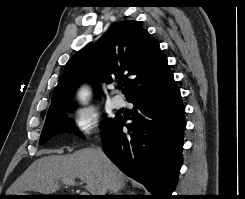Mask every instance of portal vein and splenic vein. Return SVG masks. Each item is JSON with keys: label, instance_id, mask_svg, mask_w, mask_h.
<instances>
[{"label": "portal vein and splenic vein", "instance_id": "obj_1", "mask_svg": "<svg viewBox=\"0 0 245 199\" xmlns=\"http://www.w3.org/2000/svg\"><path fill=\"white\" fill-rule=\"evenodd\" d=\"M65 184H69V185H74L76 184L75 181L71 180V181H66L64 182ZM81 195H89V193L87 192H82Z\"/></svg>", "mask_w": 245, "mask_h": 199}]
</instances>
